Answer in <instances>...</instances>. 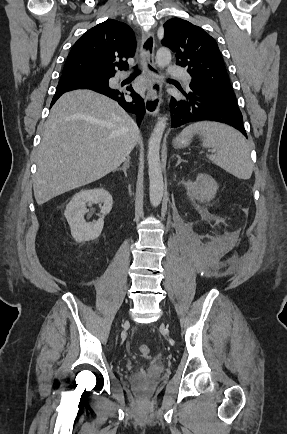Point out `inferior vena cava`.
<instances>
[{
	"label": "inferior vena cava",
	"instance_id": "obj_1",
	"mask_svg": "<svg viewBox=\"0 0 287 434\" xmlns=\"http://www.w3.org/2000/svg\"><path fill=\"white\" fill-rule=\"evenodd\" d=\"M138 137L140 138V133H139V131H138Z\"/></svg>",
	"mask_w": 287,
	"mask_h": 434
}]
</instances>
